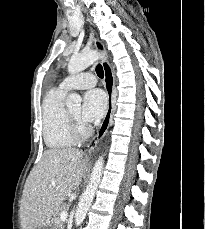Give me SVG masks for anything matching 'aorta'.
<instances>
[{"instance_id":"762f6f07","label":"aorta","mask_w":205,"mask_h":229,"mask_svg":"<svg viewBox=\"0 0 205 229\" xmlns=\"http://www.w3.org/2000/svg\"><path fill=\"white\" fill-rule=\"evenodd\" d=\"M101 58H103V56L96 50L83 51L79 54L73 55L70 58L68 63V72L70 74H76L78 72H81ZM66 105L69 107L71 106L80 107L81 105L80 95L77 93L69 94L66 100ZM103 167H104V156L102 155L99 156V158L95 162L86 190L82 193V195L79 198V203L75 214L76 226L81 225V223L85 219L87 211L95 197L98 185L101 181Z\"/></svg>"}]
</instances>
